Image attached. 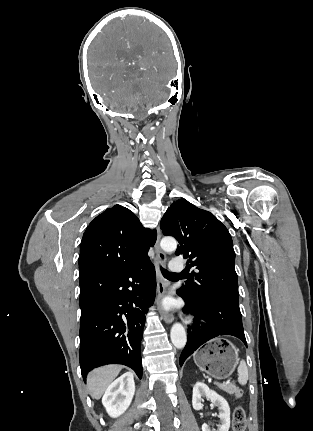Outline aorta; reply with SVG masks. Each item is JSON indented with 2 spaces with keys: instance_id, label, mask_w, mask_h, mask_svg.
I'll return each mask as SVG.
<instances>
[{
  "instance_id": "aorta-1",
  "label": "aorta",
  "mask_w": 313,
  "mask_h": 431,
  "mask_svg": "<svg viewBox=\"0 0 313 431\" xmlns=\"http://www.w3.org/2000/svg\"><path fill=\"white\" fill-rule=\"evenodd\" d=\"M161 248L166 252L175 251L177 248V241L171 237H165L160 242ZM170 337L172 344L177 349H182L185 347L187 342V335L185 328L180 323H175L170 331Z\"/></svg>"
}]
</instances>
